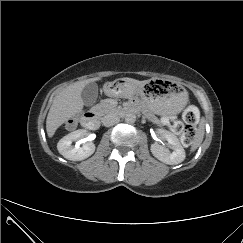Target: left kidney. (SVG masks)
Segmentation results:
<instances>
[{"label": "left kidney", "instance_id": "obj_1", "mask_svg": "<svg viewBox=\"0 0 243 243\" xmlns=\"http://www.w3.org/2000/svg\"><path fill=\"white\" fill-rule=\"evenodd\" d=\"M161 138L166 140L173 150H170L166 147L159 145L158 143H154L151 145V152L154 157H156L161 162L168 164V165H176L184 161L185 159V150L180 144L179 139L173 133L165 130V129H158L157 131Z\"/></svg>", "mask_w": 243, "mask_h": 243}]
</instances>
